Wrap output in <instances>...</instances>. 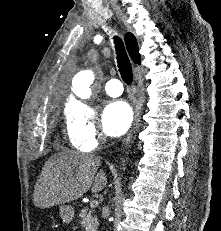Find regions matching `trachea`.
Instances as JSON below:
<instances>
[{
    "mask_svg": "<svg viewBox=\"0 0 221 231\" xmlns=\"http://www.w3.org/2000/svg\"><path fill=\"white\" fill-rule=\"evenodd\" d=\"M114 43L120 75L126 84H131L133 80L132 66L125 51L123 42L118 37H114Z\"/></svg>",
    "mask_w": 221,
    "mask_h": 231,
    "instance_id": "trachea-1",
    "label": "trachea"
}]
</instances>
